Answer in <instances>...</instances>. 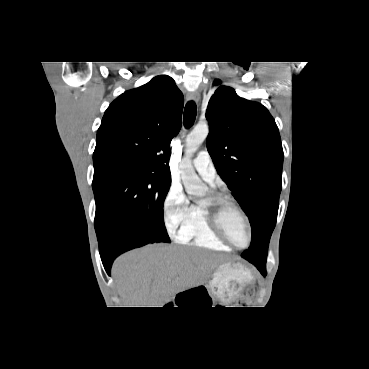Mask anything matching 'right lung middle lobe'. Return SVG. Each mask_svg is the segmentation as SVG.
I'll return each mask as SVG.
<instances>
[{
	"label": "right lung middle lobe",
	"instance_id": "1",
	"mask_svg": "<svg viewBox=\"0 0 369 369\" xmlns=\"http://www.w3.org/2000/svg\"><path fill=\"white\" fill-rule=\"evenodd\" d=\"M171 177L134 167H94L97 238L120 222L140 228L155 242H168L163 205Z\"/></svg>",
	"mask_w": 369,
	"mask_h": 369
}]
</instances>
